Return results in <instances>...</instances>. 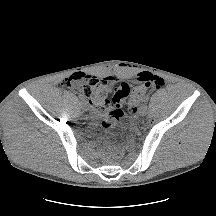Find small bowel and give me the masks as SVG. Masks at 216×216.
<instances>
[{
    "mask_svg": "<svg viewBox=\"0 0 216 216\" xmlns=\"http://www.w3.org/2000/svg\"><path fill=\"white\" fill-rule=\"evenodd\" d=\"M83 77H85V75L83 73L77 72V73H74L72 76H70V78L65 79V80H67L65 82L80 80ZM109 79L111 81L115 80V78H113V77H109Z\"/></svg>",
    "mask_w": 216,
    "mask_h": 216,
    "instance_id": "small-bowel-1",
    "label": "small bowel"
}]
</instances>
